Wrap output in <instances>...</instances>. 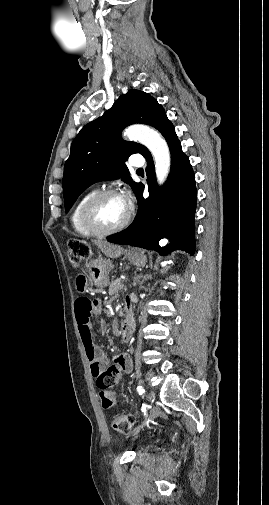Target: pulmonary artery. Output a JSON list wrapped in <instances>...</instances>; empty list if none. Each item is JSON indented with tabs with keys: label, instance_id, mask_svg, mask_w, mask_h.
I'll list each match as a JSON object with an SVG mask.
<instances>
[{
	"label": "pulmonary artery",
	"instance_id": "1",
	"mask_svg": "<svg viewBox=\"0 0 269 505\" xmlns=\"http://www.w3.org/2000/svg\"><path fill=\"white\" fill-rule=\"evenodd\" d=\"M130 164L134 167H142L144 161L140 156H132L130 159Z\"/></svg>",
	"mask_w": 269,
	"mask_h": 505
}]
</instances>
